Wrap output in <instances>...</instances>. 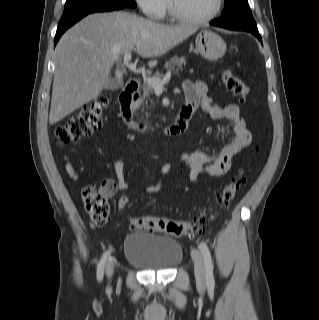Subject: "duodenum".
Here are the masks:
<instances>
[{
  "label": "duodenum",
  "mask_w": 319,
  "mask_h": 320,
  "mask_svg": "<svg viewBox=\"0 0 319 320\" xmlns=\"http://www.w3.org/2000/svg\"><path fill=\"white\" fill-rule=\"evenodd\" d=\"M139 88V82L136 79H130L123 88L120 96L119 103L121 108V114L125 119H130L133 113V101L136 98V94ZM194 111L188 109H182L178 115L177 120L165 127L162 131L167 136L177 135L183 132L191 120Z\"/></svg>",
  "instance_id": "duodenum-1"
}]
</instances>
